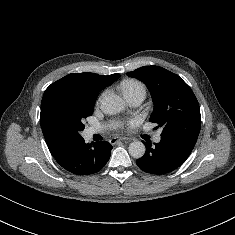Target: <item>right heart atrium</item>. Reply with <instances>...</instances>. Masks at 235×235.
<instances>
[{"label":"right heart atrium","mask_w":235,"mask_h":235,"mask_svg":"<svg viewBox=\"0 0 235 235\" xmlns=\"http://www.w3.org/2000/svg\"><path fill=\"white\" fill-rule=\"evenodd\" d=\"M103 96H104V94H102V96L99 98V101L102 99Z\"/></svg>","instance_id":"d8ad5b80"}]
</instances>
